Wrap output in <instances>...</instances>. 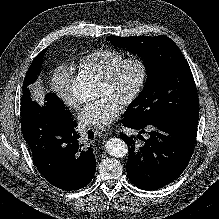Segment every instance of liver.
Here are the masks:
<instances>
[{
    "label": "liver",
    "mask_w": 219,
    "mask_h": 219,
    "mask_svg": "<svg viewBox=\"0 0 219 219\" xmlns=\"http://www.w3.org/2000/svg\"><path fill=\"white\" fill-rule=\"evenodd\" d=\"M32 99L38 104L43 105L45 100V94L47 90L42 84V80L39 79L35 84L30 86Z\"/></svg>",
    "instance_id": "obj_1"
}]
</instances>
